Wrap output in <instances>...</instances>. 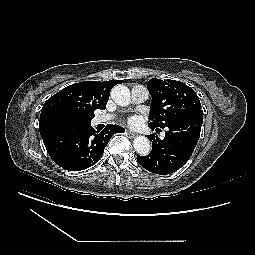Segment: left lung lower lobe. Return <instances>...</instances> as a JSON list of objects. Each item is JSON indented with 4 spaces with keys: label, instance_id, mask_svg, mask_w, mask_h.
Wrapping results in <instances>:
<instances>
[{
    "label": "left lung lower lobe",
    "instance_id": "1",
    "mask_svg": "<svg viewBox=\"0 0 255 255\" xmlns=\"http://www.w3.org/2000/svg\"><path fill=\"white\" fill-rule=\"evenodd\" d=\"M203 114L165 127V137L157 134L148 136L152 150L147 156H137V161L146 170L160 175L170 174L180 169L191 157L200 137ZM152 130L161 131L149 123Z\"/></svg>",
    "mask_w": 255,
    "mask_h": 255
}]
</instances>
